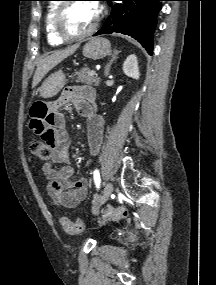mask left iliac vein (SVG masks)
<instances>
[{
    "label": "left iliac vein",
    "mask_w": 216,
    "mask_h": 285,
    "mask_svg": "<svg viewBox=\"0 0 216 285\" xmlns=\"http://www.w3.org/2000/svg\"><path fill=\"white\" fill-rule=\"evenodd\" d=\"M113 185L112 183H107V185L105 186V189L103 191V195L101 196V199H100V204H104L108 198L110 197V195L112 194L113 192Z\"/></svg>",
    "instance_id": "1"
}]
</instances>
